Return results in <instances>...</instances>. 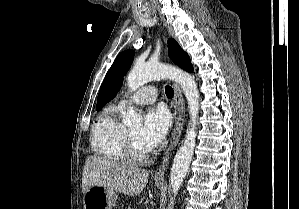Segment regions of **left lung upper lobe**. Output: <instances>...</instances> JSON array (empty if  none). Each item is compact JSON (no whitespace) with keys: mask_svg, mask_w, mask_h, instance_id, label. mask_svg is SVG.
<instances>
[{"mask_svg":"<svg viewBox=\"0 0 299 209\" xmlns=\"http://www.w3.org/2000/svg\"><path fill=\"white\" fill-rule=\"evenodd\" d=\"M168 48L169 57L175 64L188 72L193 70L188 54L174 39L168 40ZM133 56L132 50H126L120 53L114 61L101 85L96 105L97 111L116 96L121 88L123 76L132 64Z\"/></svg>","mask_w":299,"mask_h":209,"instance_id":"left-lung-upper-lobe-1","label":"left lung upper lobe"}]
</instances>
